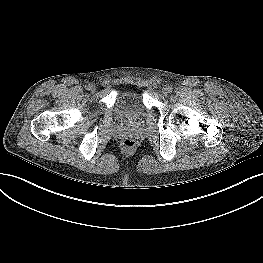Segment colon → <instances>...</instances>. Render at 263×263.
Here are the masks:
<instances>
[{
  "label": "colon",
  "mask_w": 263,
  "mask_h": 263,
  "mask_svg": "<svg viewBox=\"0 0 263 263\" xmlns=\"http://www.w3.org/2000/svg\"><path fill=\"white\" fill-rule=\"evenodd\" d=\"M123 146L126 147V148H132L135 146V141L131 140V139H126L124 142H123Z\"/></svg>",
  "instance_id": "colon-1"
}]
</instances>
